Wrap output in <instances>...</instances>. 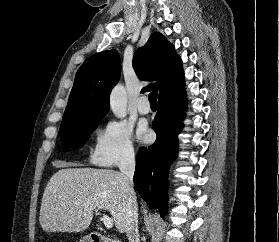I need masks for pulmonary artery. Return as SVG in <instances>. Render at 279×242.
I'll return each mask as SVG.
<instances>
[{"label": "pulmonary artery", "instance_id": "e3ab8cb5", "mask_svg": "<svg viewBox=\"0 0 279 242\" xmlns=\"http://www.w3.org/2000/svg\"><path fill=\"white\" fill-rule=\"evenodd\" d=\"M137 109L140 114H148L150 112V105L147 102V98L142 96L138 99Z\"/></svg>", "mask_w": 279, "mask_h": 242}]
</instances>
